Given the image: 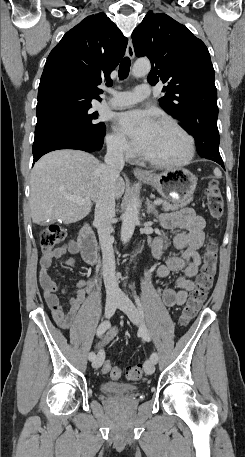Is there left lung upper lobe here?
Returning <instances> with one entry per match:
<instances>
[{
  "mask_svg": "<svg viewBox=\"0 0 245 457\" xmlns=\"http://www.w3.org/2000/svg\"><path fill=\"white\" fill-rule=\"evenodd\" d=\"M135 54L151 61L148 82L166 83L160 106L182 122L218 117L214 69L205 44L164 13L149 11L132 33Z\"/></svg>",
  "mask_w": 245,
  "mask_h": 457,
  "instance_id": "obj_1",
  "label": "left lung upper lobe"
}]
</instances>
